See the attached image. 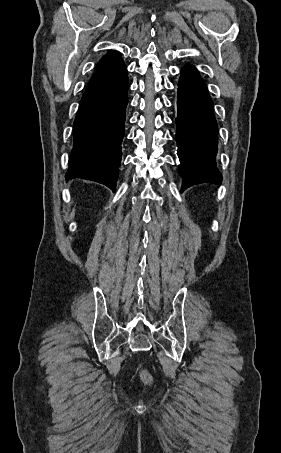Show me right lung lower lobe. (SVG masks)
Segmentation results:
<instances>
[{
  "instance_id": "98d812e1",
  "label": "right lung lower lobe",
  "mask_w": 281,
  "mask_h": 453,
  "mask_svg": "<svg viewBox=\"0 0 281 453\" xmlns=\"http://www.w3.org/2000/svg\"><path fill=\"white\" fill-rule=\"evenodd\" d=\"M128 87L127 69L118 52L99 61L74 121L66 180H92L115 191Z\"/></svg>"
}]
</instances>
